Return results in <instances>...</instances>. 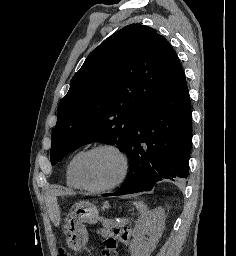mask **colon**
I'll return each instance as SVG.
<instances>
[{
	"label": "colon",
	"mask_w": 236,
	"mask_h": 256,
	"mask_svg": "<svg viewBox=\"0 0 236 256\" xmlns=\"http://www.w3.org/2000/svg\"><path fill=\"white\" fill-rule=\"evenodd\" d=\"M117 240H118L117 234L112 231V233L103 240L101 256H117V251H116ZM58 255L67 256L68 254L64 247H60L58 250Z\"/></svg>",
	"instance_id": "5ec220e1"
}]
</instances>
